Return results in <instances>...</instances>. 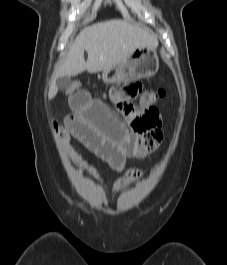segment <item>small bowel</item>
Listing matches in <instances>:
<instances>
[{"mask_svg": "<svg viewBox=\"0 0 227 265\" xmlns=\"http://www.w3.org/2000/svg\"><path fill=\"white\" fill-rule=\"evenodd\" d=\"M128 85L141 86L142 82L129 81ZM123 103L125 108H121V111H126V108L133 111V103H128V100H123ZM68 104H71L73 113L65 118L64 140L67 141L69 135L74 136L113 169L123 172L111 188V194L115 196L139 175L138 171L126 168V160L143 159L156 151L164 137L162 130L157 128L143 134L130 130L110 112L104 102L93 99L88 91H82V87H71ZM116 107H120V104H116ZM71 160L81 172L105 184V178L95 167L73 153Z\"/></svg>", "mask_w": 227, "mask_h": 265, "instance_id": "obj_1", "label": "small bowel"}]
</instances>
